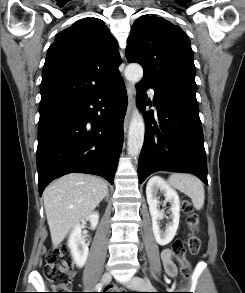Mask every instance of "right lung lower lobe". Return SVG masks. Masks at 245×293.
I'll return each mask as SVG.
<instances>
[{
	"label": "right lung lower lobe",
	"mask_w": 245,
	"mask_h": 293,
	"mask_svg": "<svg viewBox=\"0 0 245 293\" xmlns=\"http://www.w3.org/2000/svg\"><path fill=\"white\" fill-rule=\"evenodd\" d=\"M126 109V88L118 76L83 100L68 104L39 121L40 195L52 180L68 173L98 175L113 184L123 143Z\"/></svg>",
	"instance_id": "98d812e1"
}]
</instances>
